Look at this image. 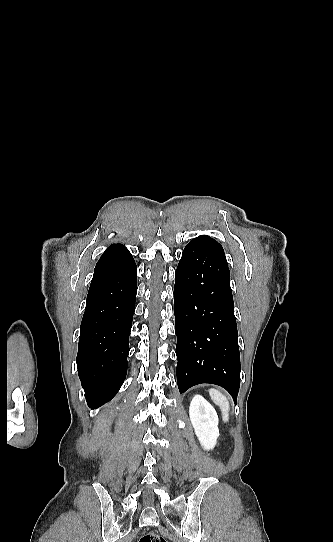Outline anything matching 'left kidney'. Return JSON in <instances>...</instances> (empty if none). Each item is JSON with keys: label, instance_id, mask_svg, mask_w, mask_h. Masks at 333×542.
Returning <instances> with one entry per match:
<instances>
[{"label": "left kidney", "instance_id": "left-kidney-1", "mask_svg": "<svg viewBox=\"0 0 333 542\" xmlns=\"http://www.w3.org/2000/svg\"><path fill=\"white\" fill-rule=\"evenodd\" d=\"M189 418L202 448L213 450L219 438V420L214 408L203 396H194L189 408Z\"/></svg>", "mask_w": 333, "mask_h": 542}]
</instances>
